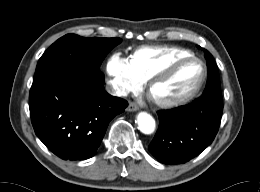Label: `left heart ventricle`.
<instances>
[{
  "label": "left heart ventricle",
  "mask_w": 260,
  "mask_h": 192,
  "mask_svg": "<svg viewBox=\"0 0 260 192\" xmlns=\"http://www.w3.org/2000/svg\"><path fill=\"white\" fill-rule=\"evenodd\" d=\"M200 75V66L188 63L176 69L169 77L157 83L152 93L159 99L180 96L193 87Z\"/></svg>",
  "instance_id": "1"
}]
</instances>
